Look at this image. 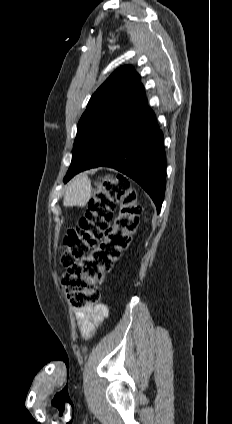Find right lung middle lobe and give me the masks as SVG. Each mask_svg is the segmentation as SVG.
Segmentation results:
<instances>
[{
    "mask_svg": "<svg viewBox=\"0 0 232 424\" xmlns=\"http://www.w3.org/2000/svg\"><path fill=\"white\" fill-rule=\"evenodd\" d=\"M133 108L126 106H105L86 110L77 125L72 162L64 179L79 173L81 167L116 128L131 121Z\"/></svg>",
    "mask_w": 232,
    "mask_h": 424,
    "instance_id": "1",
    "label": "right lung middle lobe"
}]
</instances>
